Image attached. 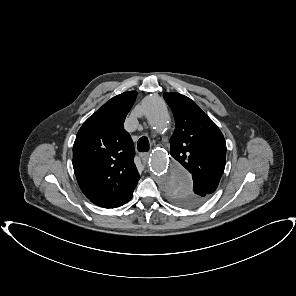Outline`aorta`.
Returning <instances> with one entry per match:
<instances>
[{
    "label": "aorta",
    "mask_w": 296,
    "mask_h": 296,
    "mask_svg": "<svg viewBox=\"0 0 296 296\" xmlns=\"http://www.w3.org/2000/svg\"><path fill=\"white\" fill-rule=\"evenodd\" d=\"M140 110L156 131L161 132L168 127L170 116L162 99L155 96L146 97L140 105ZM150 153V168L165 192L192 190L191 175L172 156L169 145L156 143Z\"/></svg>",
    "instance_id": "1"
}]
</instances>
